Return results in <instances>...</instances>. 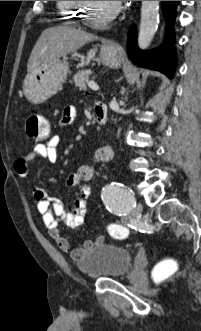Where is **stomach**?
<instances>
[{"instance_id":"obj_1","label":"stomach","mask_w":201,"mask_h":331,"mask_svg":"<svg viewBox=\"0 0 201 331\" xmlns=\"http://www.w3.org/2000/svg\"><path fill=\"white\" fill-rule=\"evenodd\" d=\"M100 61L112 68H118L122 57L118 50L104 44L100 48ZM68 73V64L58 59L36 73L28 74L23 83L27 99L35 104L45 102L62 88Z\"/></svg>"}]
</instances>
